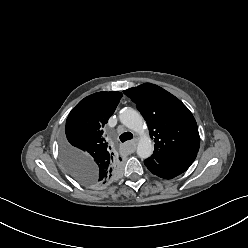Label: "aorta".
<instances>
[{"instance_id":"obj_1","label":"aorta","mask_w":248,"mask_h":248,"mask_svg":"<svg viewBox=\"0 0 248 248\" xmlns=\"http://www.w3.org/2000/svg\"><path fill=\"white\" fill-rule=\"evenodd\" d=\"M120 122L134 132L142 134L137 145V154L140 158L146 159L153 153V144L148 135L143 134L142 116L133 108H124L119 113Z\"/></svg>"}]
</instances>
